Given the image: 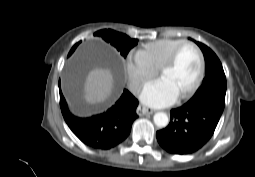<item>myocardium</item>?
<instances>
[{"label": "myocardium", "instance_id": "f54148a6", "mask_svg": "<svg viewBox=\"0 0 255 177\" xmlns=\"http://www.w3.org/2000/svg\"><path fill=\"white\" fill-rule=\"evenodd\" d=\"M185 46H191L193 47L196 52L198 53L199 56V70H198V74L197 77L194 81V83L183 93L180 94L181 98H186L190 95H192L200 86L203 77H204V72H205V58H204V54L202 52V50L200 49V47L192 42V41H183L181 44H179L171 53V55L169 56V58L165 61V63L159 68V74L162 75L165 71L171 69L176 61L177 58L179 56V53L181 52V50L185 47Z\"/></svg>", "mask_w": 255, "mask_h": 177}]
</instances>
